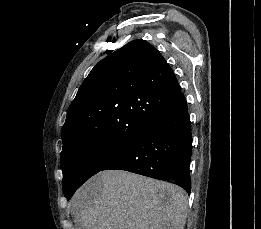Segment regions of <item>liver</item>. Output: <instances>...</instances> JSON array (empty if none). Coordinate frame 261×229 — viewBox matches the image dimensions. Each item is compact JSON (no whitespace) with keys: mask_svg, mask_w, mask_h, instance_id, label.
<instances>
[{"mask_svg":"<svg viewBox=\"0 0 261 229\" xmlns=\"http://www.w3.org/2000/svg\"><path fill=\"white\" fill-rule=\"evenodd\" d=\"M188 197L180 187L127 171H101L70 201L77 229H184Z\"/></svg>","mask_w":261,"mask_h":229,"instance_id":"6515ba94","label":"liver"}]
</instances>
